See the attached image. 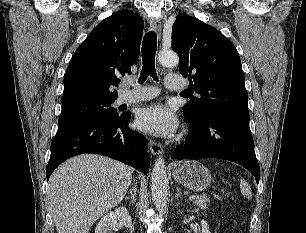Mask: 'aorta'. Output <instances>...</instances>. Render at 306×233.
Segmentation results:
<instances>
[{
  "label": "aorta",
  "mask_w": 306,
  "mask_h": 233,
  "mask_svg": "<svg viewBox=\"0 0 306 233\" xmlns=\"http://www.w3.org/2000/svg\"><path fill=\"white\" fill-rule=\"evenodd\" d=\"M160 64L166 67H173L179 64L178 55L171 50H162L158 55ZM151 195L156 209L163 212L167 206L168 197V179L165 167V161L159 156L151 174Z\"/></svg>",
  "instance_id": "aorta-1"
}]
</instances>
